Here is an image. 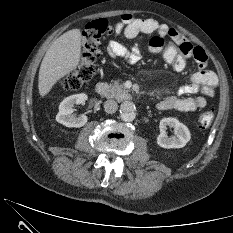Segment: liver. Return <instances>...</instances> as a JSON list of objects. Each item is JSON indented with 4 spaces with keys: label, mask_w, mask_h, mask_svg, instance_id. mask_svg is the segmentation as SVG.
Here are the masks:
<instances>
[{
    "label": "liver",
    "mask_w": 233,
    "mask_h": 233,
    "mask_svg": "<svg viewBox=\"0 0 233 233\" xmlns=\"http://www.w3.org/2000/svg\"><path fill=\"white\" fill-rule=\"evenodd\" d=\"M81 38V31L72 29L49 47L39 70L40 96H46L57 81L76 69L81 57Z\"/></svg>",
    "instance_id": "liver-1"
}]
</instances>
